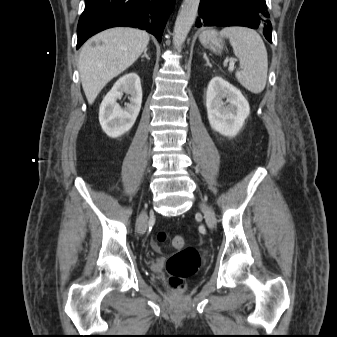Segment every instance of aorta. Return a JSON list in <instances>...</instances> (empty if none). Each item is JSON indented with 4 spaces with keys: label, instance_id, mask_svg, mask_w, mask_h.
Returning <instances> with one entry per match:
<instances>
[{
    "label": "aorta",
    "instance_id": "obj_1",
    "mask_svg": "<svg viewBox=\"0 0 337 337\" xmlns=\"http://www.w3.org/2000/svg\"><path fill=\"white\" fill-rule=\"evenodd\" d=\"M200 0H184L175 21L173 44L180 49L195 22Z\"/></svg>",
    "mask_w": 337,
    "mask_h": 337
}]
</instances>
